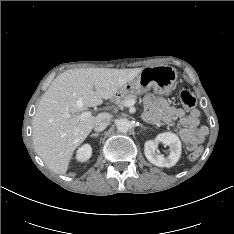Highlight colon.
I'll return each instance as SVG.
<instances>
[{"label": "colon", "mask_w": 234, "mask_h": 234, "mask_svg": "<svg viewBox=\"0 0 234 234\" xmlns=\"http://www.w3.org/2000/svg\"><path fill=\"white\" fill-rule=\"evenodd\" d=\"M178 98L180 103L186 108H193L196 104V99L194 95L186 89H182L179 91ZM201 152H202L201 147L195 146L190 148V154H189L190 159L196 160L201 155Z\"/></svg>", "instance_id": "1"}]
</instances>
